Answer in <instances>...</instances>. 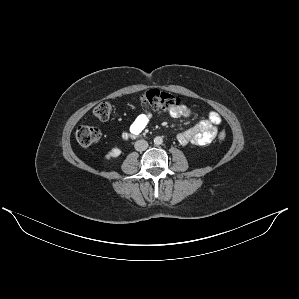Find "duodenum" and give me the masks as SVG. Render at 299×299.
Segmentation results:
<instances>
[{
    "instance_id": "410a0bca",
    "label": "duodenum",
    "mask_w": 299,
    "mask_h": 299,
    "mask_svg": "<svg viewBox=\"0 0 299 299\" xmlns=\"http://www.w3.org/2000/svg\"><path fill=\"white\" fill-rule=\"evenodd\" d=\"M130 135L126 134L125 137H129Z\"/></svg>"
}]
</instances>
